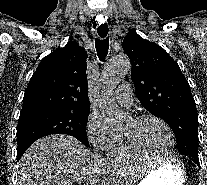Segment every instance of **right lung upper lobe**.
I'll return each instance as SVG.
<instances>
[{
  "label": "right lung upper lobe",
  "instance_id": "1",
  "mask_svg": "<svg viewBox=\"0 0 207 185\" xmlns=\"http://www.w3.org/2000/svg\"><path fill=\"white\" fill-rule=\"evenodd\" d=\"M86 57L87 53L75 42L44 57L25 91L22 111L90 112Z\"/></svg>",
  "mask_w": 207,
  "mask_h": 185
}]
</instances>
